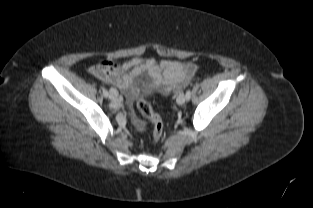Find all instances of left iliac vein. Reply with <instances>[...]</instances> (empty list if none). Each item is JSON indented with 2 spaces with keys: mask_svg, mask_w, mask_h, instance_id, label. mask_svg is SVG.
I'll return each instance as SVG.
<instances>
[{
  "mask_svg": "<svg viewBox=\"0 0 313 208\" xmlns=\"http://www.w3.org/2000/svg\"><path fill=\"white\" fill-rule=\"evenodd\" d=\"M177 104L183 105L186 102V95L184 93H180L176 99Z\"/></svg>",
  "mask_w": 313,
  "mask_h": 208,
  "instance_id": "1",
  "label": "left iliac vein"
}]
</instances>
